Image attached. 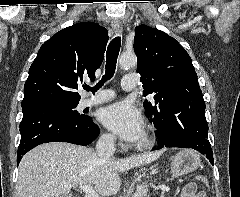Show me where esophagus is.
Masks as SVG:
<instances>
[{
  "label": "esophagus",
  "mask_w": 240,
  "mask_h": 197,
  "mask_svg": "<svg viewBox=\"0 0 240 197\" xmlns=\"http://www.w3.org/2000/svg\"><path fill=\"white\" fill-rule=\"evenodd\" d=\"M111 26L116 35H119L122 33L123 27L119 20H113L111 23Z\"/></svg>",
  "instance_id": "34e87169"
}]
</instances>
